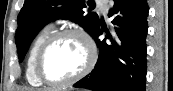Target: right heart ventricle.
Listing matches in <instances>:
<instances>
[{"label":"right heart ventricle","instance_id":"1","mask_svg":"<svg viewBox=\"0 0 173 91\" xmlns=\"http://www.w3.org/2000/svg\"><path fill=\"white\" fill-rule=\"evenodd\" d=\"M53 24H46L39 31L35 39L33 40L31 47L28 52L27 61H26V78L28 82L33 86H41L42 82L37 78L35 73V58L37 52L44 42V40L53 32Z\"/></svg>","mask_w":173,"mask_h":91}]
</instances>
